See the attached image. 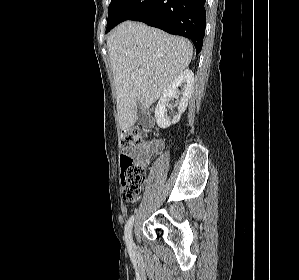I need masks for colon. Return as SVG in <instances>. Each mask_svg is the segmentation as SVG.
Returning a JSON list of instances; mask_svg holds the SVG:
<instances>
[{"mask_svg": "<svg viewBox=\"0 0 299 280\" xmlns=\"http://www.w3.org/2000/svg\"><path fill=\"white\" fill-rule=\"evenodd\" d=\"M144 142V131L140 127L125 130L121 136L123 153L120 158L123 200L130 204L137 200L146 178L147 159H135L130 150Z\"/></svg>", "mask_w": 299, "mask_h": 280, "instance_id": "obj_1", "label": "colon"}]
</instances>
